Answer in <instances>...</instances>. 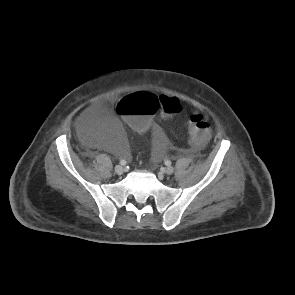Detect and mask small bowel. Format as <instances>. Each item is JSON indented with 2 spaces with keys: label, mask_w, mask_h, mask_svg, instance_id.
Masks as SVG:
<instances>
[{
  "label": "small bowel",
  "mask_w": 295,
  "mask_h": 295,
  "mask_svg": "<svg viewBox=\"0 0 295 295\" xmlns=\"http://www.w3.org/2000/svg\"><path fill=\"white\" fill-rule=\"evenodd\" d=\"M136 93H138V92H136ZM164 116H167L168 117L169 115H164ZM129 126L134 131L139 132V133H143V132H145V131H147L149 129L152 130V132H153V139H154V157L156 159L159 158L161 156V154H162V151H163L162 130H161L160 126L152 118H151L150 124L146 128H144V129H135L131 125H129ZM128 155H129V153H128Z\"/></svg>",
  "instance_id": "c3829d8e"
}]
</instances>
